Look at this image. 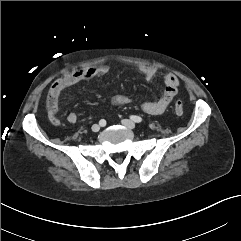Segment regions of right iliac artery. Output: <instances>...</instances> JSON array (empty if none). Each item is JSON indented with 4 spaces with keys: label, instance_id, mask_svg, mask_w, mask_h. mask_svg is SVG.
<instances>
[{
    "label": "right iliac artery",
    "instance_id": "1",
    "mask_svg": "<svg viewBox=\"0 0 241 241\" xmlns=\"http://www.w3.org/2000/svg\"><path fill=\"white\" fill-rule=\"evenodd\" d=\"M100 126L104 127L106 125V121L104 119L99 121Z\"/></svg>",
    "mask_w": 241,
    "mask_h": 241
}]
</instances>
